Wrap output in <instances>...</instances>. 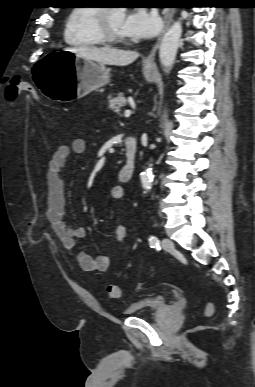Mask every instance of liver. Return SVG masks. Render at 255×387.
<instances>
[{"label": "liver", "mask_w": 255, "mask_h": 387, "mask_svg": "<svg viewBox=\"0 0 255 387\" xmlns=\"http://www.w3.org/2000/svg\"><path fill=\"white\" fill-rule=\"evenodd\" d=\"M67 50L75 53L80 58L91 60L102 65L127 66L139 57V53L136 51L108 47L97 48L83 46Z\"/></svg>", "instance_id": "6515ba94"}]
</instances>
